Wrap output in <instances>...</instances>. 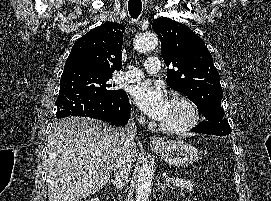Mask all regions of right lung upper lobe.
<instances>
[{"label": "right lung upper lobe", "mask_w": 271, "mask_h": 201, "mask_svg": "<svg viewBox=\"0 0 271 201\" xmlns=\"http://www.w3.org/2000/svg\"><path fill=\"white\" fill-rule=\"evenodd\" d=\"M125 28L106 22L80 37L73 45L64 71L82 69L112 74L122 67V41Z\"/></svg>", "instance_id": "cb5924a9"}]
</instances>
